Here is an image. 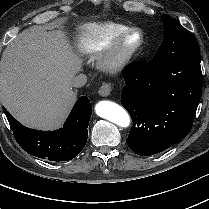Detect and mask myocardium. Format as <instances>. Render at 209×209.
Here are the masks:
<instances>
[{
  "label": "myocardium",
  "mask_w": 209,
  "mask_h": 209,
  "mask_svg": "<svg viewBox=\"0 0 209 209\" xmlns=\"http://www.w3.org/2000/svg\"><path fill=\"white\" fill-rule=\"evenodd\" d=\"M133 34L139 36L138 42L124 48L125 40ZM144 44V35L139 28L130 27L114 34L106 43L99 56L100 67L108 72H116L124 68L139 52Z\"/></svg>",
  "instance_id": "obj_1"
}]
</instances>
